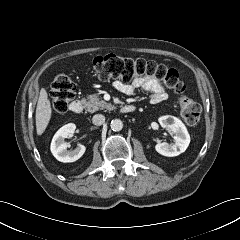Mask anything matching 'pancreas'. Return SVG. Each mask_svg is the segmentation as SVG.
Listing matches in <instances>:
<instances>
[{"label":"pancreas","mask_w":240,"mask_h":240,"mask_svg":"<svg viewBox=\"0 0 240 240\" xmlns=\"http://www.w3.org/2000/svg\"><path fill=\"white\" fill-rule=\"evenodd\" d=\"M87 111L94 113L99 109L113 110L115 107L104 100H101L97 94H91L84 99Z\"/></svg>","instance_id":"cf45deb5"}]
</instances>
